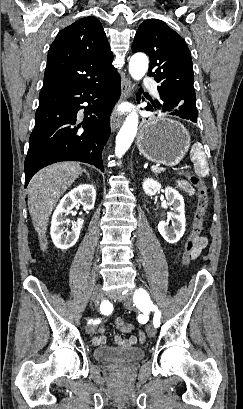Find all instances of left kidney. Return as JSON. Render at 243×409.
I'll return each mask as SVG.
<instances>
[{"mask_svg": "<svg viewBox=\"0 0 243 409\" xmlns=\"http://www.w3.org/2000/svg\"><path fill=\"white\" fill-rule=\"evenodd\" d=\"M160 189L161 184L154 179L147 178L143 182V190L149 196L155 195ZM165 197L168 205L172 206L173 213L166 222H159L158 231L168 243L173 244L178 242L185 232V204L179 192L171 187L165 188ZM169 220L172 221L170 227L168 226Z\"/></svg>", "mask_w": 243, "mask_h": 409, "instance_id": "obj_1", "label": "left kidney"}]
</instances>
